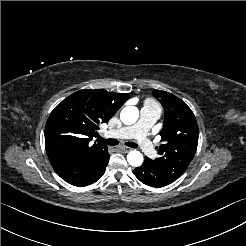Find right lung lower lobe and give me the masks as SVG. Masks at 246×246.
I'll return each instance as SVG.
<instances>
[{
    "label": "right lung lower lobe",
    "mask_w": 246,
    "mask_h": 246,
    "mask_svg": "<svg viewBox=\"0 0 246 246\" xmlns=\"http://www.w3.org/2000/svg\"><path fill=\"white\" fill-rule=\"evenodd\" d=\"M107 149L91 159L51 163L56 173L69 184L84 187L95 183L104 174L109 161Z\"/></svg>",
    "instance_id": "obj_1"
}]
</instances>
